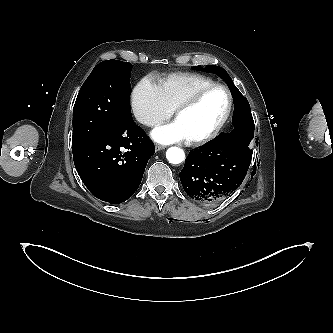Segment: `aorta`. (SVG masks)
Segmentation results:
<instances>
[{
    "instance_id": "762f6f07",
    "label": "aorta",
    "mask_w": 333,
    "mask_h": 333,
    "mask_svg": "<svg viewBox=\"0 0 333 333\" xmlns=\"http://www.w3.org/2000/svg\"><path fill=\"white\" fill-rule=\"evenodd\" d=\"M166 158L172 164H179L184 161L185 153L181 148L170 147L166 152Z\"/></svg>"
}]
</instances>
